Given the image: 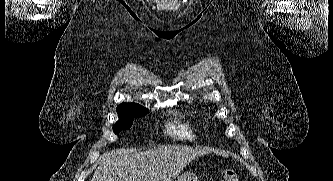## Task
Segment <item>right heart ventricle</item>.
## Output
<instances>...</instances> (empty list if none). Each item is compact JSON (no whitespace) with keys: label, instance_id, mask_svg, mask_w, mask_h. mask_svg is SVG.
Listing matches in <instances>:
<instances>
[{"label":"right heart ventricle","instance_id":"obj_1","mask_svg":"<svg viewBox=\"0 0 333 181\" xmlns=\"http://www.w3.org/2000/svg\"><path fill=\"white\" fill-rule=\"evenodd\" d=\"M169 134L184 140H193L195 138L193 126L187 122L181 121L176 122L169 127Z\"/></svg>","mask_w":333,"mask_h":181}]
</instances>
